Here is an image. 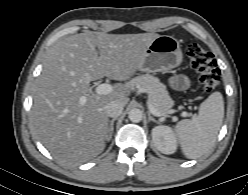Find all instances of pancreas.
I'll return each mask as SVG.
<instances>
[{"label": "pancreas", "mask_w": 248, "mask_h": 195, "mask_svg": "<svg viewBox=\"0 0 248 195\" xmlns=\"http://www.w3.org/2000/svg\"><path fill=\"white\" fill-rule=\"evenodd\" d=\"M130 85L142 89L149 96V102L161 116H168L174 101L169 96L166 86L157 77L144 74L135 77L130 81Z\"/></svg>", "instance_id": "obj_1"}]
</instances>
